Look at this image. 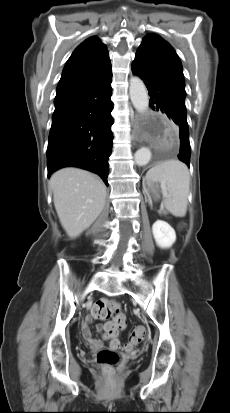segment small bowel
<instances>
[{
    "instance_id": "small-bowel-1",
    "label": "small bowel",
    "mask_w": 230,
    "mask_h": 413,
    "mask_svg": "<svg viewBox=\"0 0 230 413\" xmlns=\"http://www.w3.org/2000/svg\"><path fill=\"white\" fill-rule=\"evenodd\" d=\"M92 316L94 317L93 313ZM92 317L88 316L83 325H82V333L83 336L91 342L93 345L97 346L100 344V340L93 337L92 332L90 330V323ZM127 323V319L123 314H120L115 320L108 321L103 325H98L97 329L102 333V339L107 340L110 339L109 330L113 328L115 330L116 336L118 335L119 331L124 329Z\"/></svg>"
}]
</instances>
